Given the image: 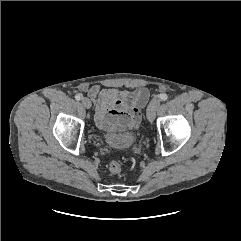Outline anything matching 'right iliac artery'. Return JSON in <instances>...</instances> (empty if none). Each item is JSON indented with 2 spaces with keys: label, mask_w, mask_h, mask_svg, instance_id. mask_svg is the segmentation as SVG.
<instances>
[{
  "label": "right iliac artery",
  "mask_w": 241,
  "mask_h": 241,
  "mask_svg": "<svg viewBox=\"0 0 241 241\" xmlns=\"http://www.w3.org/2000/svg\"><path fill=\"white\" fill-rule=\"evenodd\" d=\"M81 98H82V95H80V94H77V95L75 96V99H76L77 101L81 100Z\"/></svg>",
  "instance_id": "right-iliac-artery-1"
}]
</instances>
